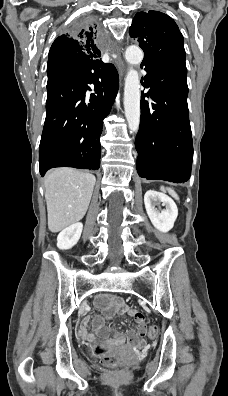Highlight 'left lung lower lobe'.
<instances>
[{
    "label": "left lung lower lobe",
    "mask_w": 228,
    "mask_h": 396,
    "mask_svg": "<svg viewBox=\"0 0 228 396\" xmlns=\"http://www.w3.org/2000/svg\"><path fill=\"white\" fill-rule=\"evenodd\" d=\"M141 68L147 72L143 86L150 90L141 94L135 140L138 174L149 180L184 183L190 178L193 160L187 80L163 66ZM148 96L151 104L144 99Z\"/></svg>",
    "instance_id": "1"
}]
</instances>
